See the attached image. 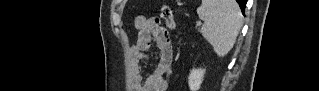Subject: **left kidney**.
<instances>
[{
	"instance_id": "5707ae66",
	"label": "left kidney",
	"mask_w": 319,
	"mask_h": 91,
	"mask_svg": "<svg viewBox=\"0 0 319 91\" xmlns=\"http://www.w3.org/2000/svg\"><path fill=\"white\" fill-rule=\"evenodd\" d=\"M205 72L206 70L202 68H194L191 70L188 77V84L191 91H198L200 89Z\"/></svg>"
}]
</instances>
